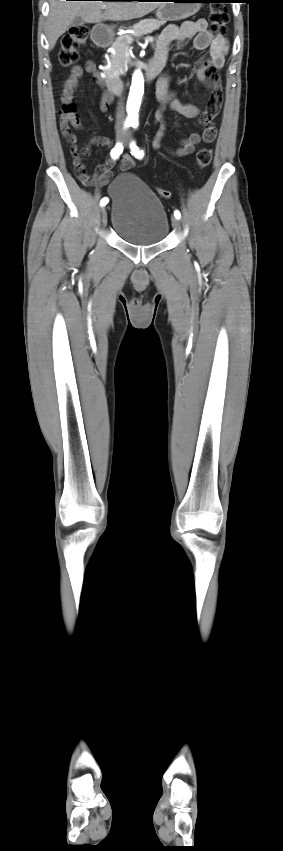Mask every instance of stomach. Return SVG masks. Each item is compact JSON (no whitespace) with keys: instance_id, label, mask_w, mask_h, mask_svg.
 Wrapping results in <instances>:
<instances>
[{"instance_id":"stomach-1","label":"stomach","mask_w":283,"mask_h":851,"mask_svg":"<svg viewBox=\"0 0 283 851\" xmlns=\"http://www.w3.org/2000/svg\"><path fill=\"white\" fill-rule=\"evenodd\" d=\"M200 0H173L162 4L157 11L156 16L161 21H178L186 19L197 13L201 7ZM95 36L103 42H110L113 39V33L105 26H97L94 29Z\"/></svg>"}]
</instances>
